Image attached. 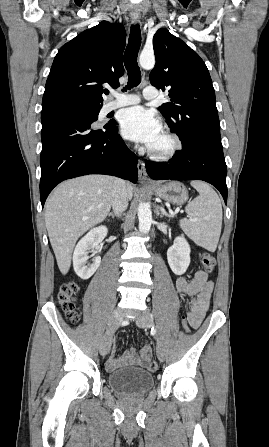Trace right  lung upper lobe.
Instances as JSON below:
<instances>
[{"instance_id": "obj_1", "label": "right lung upper lobe", "mask_w": 269, "mask_h": 447, "mask_svg": "<svg viewBox=\"0 0 269 447\" xmlns=\"http://www.w3.org/2000/svg\"><path fill=\"white\" fill-rule=\"evenodd\" d=\"M126 32L121 24L102 21L60 48L54 58L42 110L76 104H103V83L119 86Z\"/></svg>"}]
</instances>
